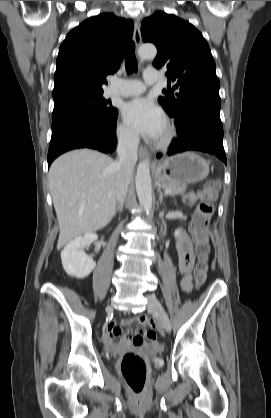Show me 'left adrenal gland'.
Returning <instances> with one entry per match:
<instances>
[{
	"label": "left adrenal gland",
	"instance_id": "a2214340",
	"mask_svg": "<svg viewBox=\"0 0 271 418\" xmlns=\"http://www.w3.org/2000/svg\"><path fill=\"white\" fill-rule=\"evenodd\" d=\"M158 193H159V203L161 204V203H162V201H163V197H164V195H163V193L161 192V190H160V189H158Z\"/></svg>",
	"mask_w": 271,
	"mask_h": 418
}]
</instances>
